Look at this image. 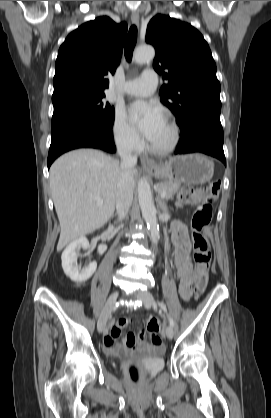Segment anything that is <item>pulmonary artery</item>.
<instances>
[{
	"label": "pulmonary artery",
	"instance_id": "1",
	"mask_svg": "<svg viewBox=\"0 0 271 418\" xmlns=\"http://www.w3.org/2000/svg\"><path fill=\"white\" fill-rule=\"evenodd\" d=\"M157 83V73L152 69H146L138 78L127 81L122 92L131 96H149L154 92Z\"/></svg>",
	"mask_w": 271,
	"mask_h": 418
}]
</instances>
